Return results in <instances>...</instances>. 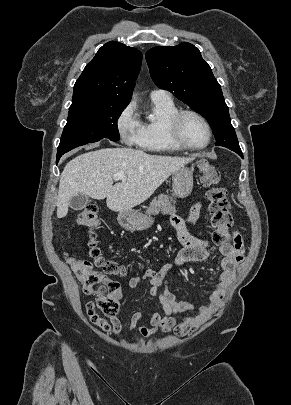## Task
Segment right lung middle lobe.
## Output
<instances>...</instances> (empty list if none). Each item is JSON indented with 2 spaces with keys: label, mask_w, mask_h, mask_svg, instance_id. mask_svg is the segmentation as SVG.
I'll return each instance as SVG.
<instances>
[{
  "label": "right lung middle lobe",
  "mask_w": 291,
  "mask_h": 405,
  "mask_svg": "<svg viewBox=\"0 0 291 405\" xmlns=\"http://www.w3.org/2000/svg\"><path fill=\"white\" fill-rule=\"evenodd\" d=\"M126 106L113 102L71 105L58 146L57 162L64 153L78 146L103 138L118 141L117 120Z\"/></svg>",
  "instance_id": "dd1d6c3e"
}]
</instances>
